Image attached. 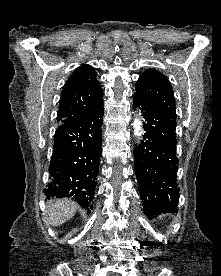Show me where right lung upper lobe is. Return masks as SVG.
I'll return each mask as SVG.
<instances>
[{
	"label": "right lung upper lobe",
	"instance_id": "obj_1",
	"mask_svg": "<svg viewBox=\"0 0 221 276\" xmlns=\"http://www.w3.org/2000/svg\"><path fill=\"white\" fill-rule=\"evenodd\" d=\"M96 72L84 64L75 69L61 93L57 120L59 125L83 120L103 103V92Z\"/></svg>",
	"mask_w": 221,
	"mask_h": 276
}]
</instances>
